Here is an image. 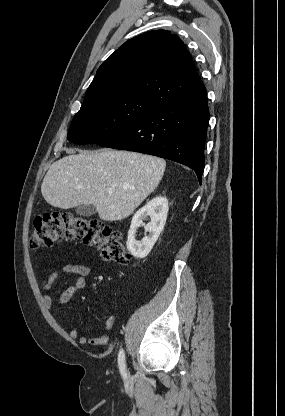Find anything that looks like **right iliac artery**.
Here are the masks:
<instances>
[{"mask_svg": "<svg viewBox=\"0 0 285 416\" xmlns=\"http://www.w3.org/2000/svg\"><path fill=\"white\" fill-rule=\"evenodd\" d=\"M118 365H119V369H120L122 376L126 378L127 377L126 362H125V353L123 349L120 350L119 355H118Z\"/></svg>", "mask_w": 285, "mask_h": 416, "instance_id": "obj_1", "label": "right iliac artery"}]
</instances>
